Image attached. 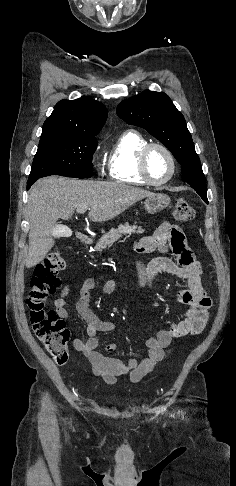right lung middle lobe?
Masks as SVG:
<instances>
[{"mask_svg":"<svg viewBox=\"0 0 236 486\" xmlns=\"http://www.w3.org/2000/svg\"><path fill=\"white\" fill-rule=\"evenodd\" d=\"M96 147L95 137L42 133L28 181L50 175L90 178Z\"/></svg>","mask_w":236,"mask_h":486,"instance_id":"right-lung-middle-lobe-1","label":"right lung middle lobe"}]
</instances>
